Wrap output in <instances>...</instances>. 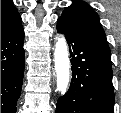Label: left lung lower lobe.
<instances>
[{"mask_svg": "<svg viewBox=\"0 0 121 113\" xmlns=\"http://www.w3.org/2000/svg\"><path fill=\"white\" fill-rule=\"evenodd\" d=\"M57 30L69 45L72 79L56 113H114L110 51L61 17Z\"/></svg>", "mask_w": 121, "mask_h": 113, "instance_id": "0a47b994", "label": "left lung lower lobe"}]
</instances>
